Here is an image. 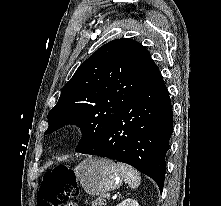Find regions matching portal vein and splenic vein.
Here are the masks:
<instances>
[{
	"label": "portal vein and splenic vein",
	"mask_w": 221,
	"mask_h": 206,
	"mask_svg": "<svg viewBox=\"0 0 221 206\" xmlns=\"http://www.w3.org/2000/svg\"><path fill=\"white\" fill-rule=\"evenodd\" d=\"M110 196H111V195H110L109 193L106 194V198H107V199H109Z\"/></svg>",
	"instance_id": "1"
}]
</instances>
